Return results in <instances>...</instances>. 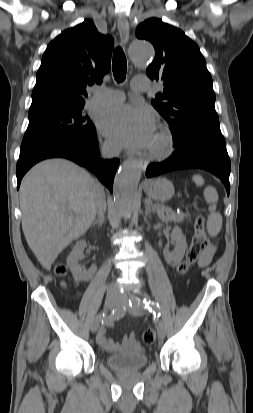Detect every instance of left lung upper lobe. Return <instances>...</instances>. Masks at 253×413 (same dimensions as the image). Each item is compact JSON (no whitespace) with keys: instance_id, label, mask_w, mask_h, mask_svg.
<instances>
[{"instance_id":"5c2ea615","label":"left lung upper lobe","mask_w":253,"mask_h":413,"mask_svg":"<svg viewBox=\"0 0 253 413\" xmlns=\"http://www.w3.org/2000/svg\"><path fill=\"white\" fill-rule=\"evenodd\" d=\"M136 36L155 48V59L146 73L150 79L162 81L164 89L152 105L170 124L172 134L196 121L218 123L212 78L199 47L183 31L158 18L140 23Z\"/></svg>"}]
</instances>
